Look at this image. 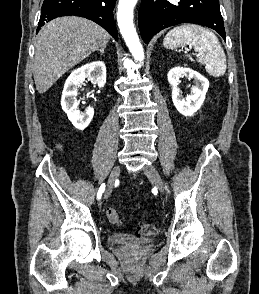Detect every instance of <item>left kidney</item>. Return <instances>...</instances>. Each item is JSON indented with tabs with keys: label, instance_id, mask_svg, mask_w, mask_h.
<instances>
[{
	"label": "left kidney",
	"instance_id": "1",
	"mask_svg": "<svg viewBox=\"0 0 259 294\" xmlns=\"http://www.w3.org/2000/svg\"><path fill=\"white\" fill-rule=\"evenodd\" d=\"M184 76L193 79L195 83V86L191 88V93L185 98L180 94L178 88L180 78ZM167 78L172 87V100L177 111L184 116H193L205 100L209 81L198 72L183 67L172 68L168 72Z\"/></svg>",
	"mask_w": 259,
	"mask_h": 294
}]
</instances>
